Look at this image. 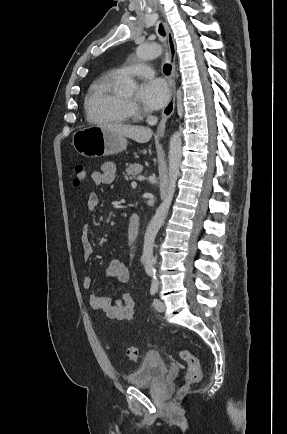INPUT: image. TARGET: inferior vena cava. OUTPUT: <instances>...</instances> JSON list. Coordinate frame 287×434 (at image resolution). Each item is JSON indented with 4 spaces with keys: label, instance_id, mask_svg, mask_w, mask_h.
I'll return each mask as SVG.
<instances>
[{
    "label": "inferior vena cava",
    "instance_id": "inferior-vena-cava-1",
    "mask_svg": "<svg viewBox=\"0 0 287 434\" xmlns=\"http://www.w3.org/2000/svg\"><path fill=\"white\" fill-rule=\"evenodd\" d=\"M157 121H158V118L156 117V116H148V118H147V123L149 124V125H155L156 123H157Z\"/></svg>",
    "mask_w": 287,
    "mask_h": 434
}]
</instances>
